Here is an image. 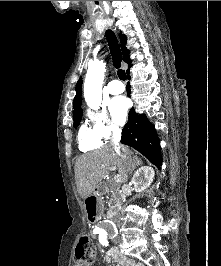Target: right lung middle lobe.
<instances>
[{"label": "right lung middle lobe", "mask_w": 221, "mask_h": 266, "mask_svg": "<svg viewBox=\"0 0 221 266\" xmlns=\"http://www.w3.org/2000/svg\"><path fill=\"white\" fill-rule=\"evenodd\" d=\"M73 119H74V127L77 128V126L79 125V123L82 119V113L79 115L73 116Z\"/></svg>", "instance_id": "right-lung-middle-lobe-1"}]
</instances>
